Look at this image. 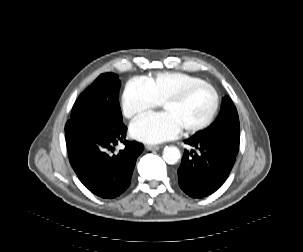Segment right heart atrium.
I'll use <instances>...</instances> for the list:
<instances>
[{
    "mask_svg": "<svg viewBox=\"0 0 303 252\" xmlns=\"http://www.w3.org/2000/svg\"><path fill=\"white\" fill-rule=\"evenodd\" d=\"M154 107L144 84L134 79L126 88L122 111L129 119H135Z\"/></svg>",
    "mask_w": 303,
    "mask_h": 252,
    "instance_id": "obj_1",
    "label": "right heart atrium"
}]
</instances>
